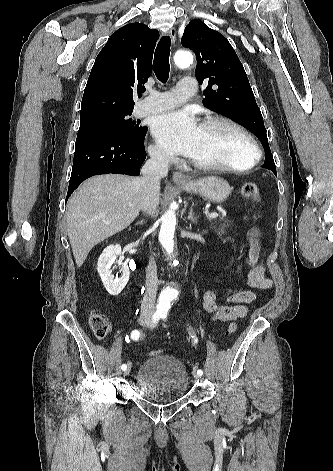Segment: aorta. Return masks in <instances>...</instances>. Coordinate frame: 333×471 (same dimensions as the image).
I'll return each instance as SVG.
<instances>
[{"label": "aorta", "instance_id": "1", "mask_svg": "<svg viewBox=\"0 0 333 471\" xmlns=\"http://www.w3.org/2000/svg\"><path fill=\"white\" fill-rule=\"evenodd\" d=\"M174 61L179 68L188 67L193 61L190 51H178L174 56ZM177 224L175 208L170 207L161 217V228L159 241L168 255H173L175 249L174 233ZM179 291L174 287H166L159 296L158 306L168 309L172 300L177 298Z\"/></svg>", "mask_w": 333, "mask_h": 471}]
</instances>
